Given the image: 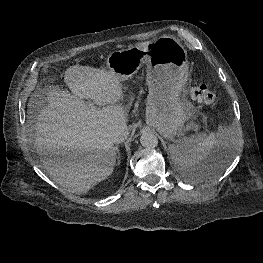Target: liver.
<instances>
[{
  "label": "liver",
  "mask_w": 263,
  "mask_h": 263,
  "mask_svg": "<svg viewBox=\"0 0 263 263\" xmlns=\"http://www.w3.org/2000/svg\"><path fill=\"white\" fill-rule=\"evenodd\" d=\"M64 81L73 94L48 90L47 105L34 125L35 147L56 184L70 193L86 194L114 170L117 151L111 132L126 126V112L116 104L123 90L108 71L79 64L66 69ZM85 99L104 107L91 108Z\"/></svg>",
  "instance_id": "1"
}]
</instances>
